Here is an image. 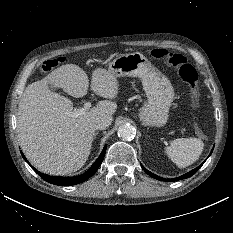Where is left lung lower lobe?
I'll return each mask as SVG.
<instances>
[{
  "mask_svg": "<svg viewBox=\"0 0 233 233\" xmlns=\"http://www.w3.org/2000/svg\"><path fill=\"white\" fill-rule=\"evenodd\" d=\"M212 151H213V150H212ZM212 151H211V153H212ZM211 153H210V154H211ZM202 165H203V163H202L199 167H197V168L193 169L192 171H190V172L184 174L183 176L177 177V178H174V179H171L170 181H177V180H180V179L189 178L190 176H192L193 174H195V173L199 170V168H200ZM141 166H142V168L144 169V171H145L148 175H150L151 177H153V178H155V179H158V180H161V181H169V179H164V178H162V177H159V176H157V175L151 173L150 171H148L147 169H145L144 166H143L142 164H141Z\"/></svg>",
  "mask_w": 233,
  "mask_h": 233,
  "instance_id": "obj_1",
  "label": "left lung lower lobe"
}]
</instances>
